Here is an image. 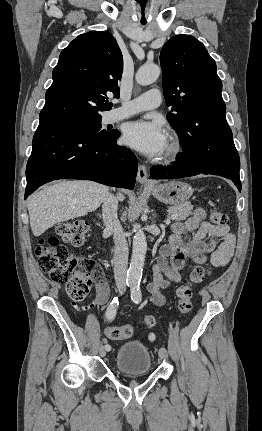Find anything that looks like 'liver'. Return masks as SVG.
Wrapping results in <instances>:
<instances>
[{
	"mask_svg": "<svg viewBox=\"0 0 262 431\" xmlns=\"http://www.w3.org/2000/svg\"><path fill=\"white\" fill-rule=\"evenodd\" d=\"M109 195V188L92 181H61L36 192L28 199L30 226L40 236L59 222L95 211ZM120 200L124 196L119 194Z\"/></svg>",
	"mask_w": 262,
	"mask_h": 431,
	"instance_id": "obj_1",
	"label": "liver"
}]
</instances>
